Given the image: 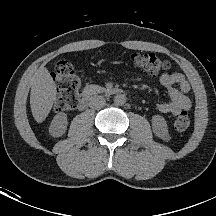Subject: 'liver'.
<instances>
[{
  "mask_svg": "<svg viewBox=\"0 0 216 216\" xmlns=\"http://www.w3.org/2000/svg\"><path fill=\"white\" fill-rule=\"evenodd\" d=\"M32 80L30 107L35 121L42 123L57 100L56 84L43 66L35 72Z\"/></svg>",
  "mask_w": 216,
  "mask_h": 216,
  "instance_id": "obj_1",
  "label": "liver"
}]
</instances>
